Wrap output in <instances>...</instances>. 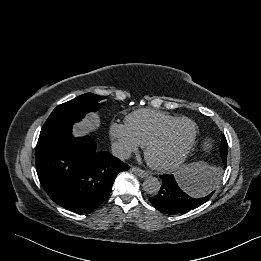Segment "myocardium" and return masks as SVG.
I'll use <instances>...</instances> for the list:
<instances>
[{
    "instance_id": "myocardium-1",
    "label": "myocardium",
    "mask_w": 261,
    "mask_h": 261,
    "mask_svg": "<svg viewBox=\"0 0 261 261\" xmlns=\"http://www.w3.org/2000/svg\"><path fill=\"white\" fill-rule=\"evenodd\" d=\"M186 121L189 122L193 127L192 136L187 144V146L184 148L182 153L174 160L166 163H159L152 159L151 157V149L164 137V135L177 123ZM198 128L196 123L187 117H178L174 120L166 123L163 125L158 131H156L145 143L144 145V156L148 163V165L157 171H170L176 167H178L181 163L185 161V159L190 154L197 138Z\"/></svg>"
}]
</instances>
